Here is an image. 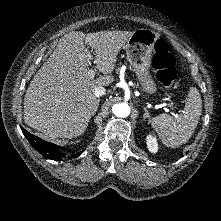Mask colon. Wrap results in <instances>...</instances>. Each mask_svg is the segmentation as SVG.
I'll return each mask as SVG.
<instances>
[{"mask_svg": "<svg viewBox=\"0 0 221 221\" xmlns=\"http://www.w3.org/2000/svg\"><path fill=\"white\" fill-rule=\"evenodd\" d=\"M153 66L156 70L157 80L165 87L175 89L176 69L175 57L168 42L158 39L154 46Z\"/></svg>", "mask_w": 221, "mask_h": 221, "instance_id": "5ec220e1", "label": "colon"}]
</instances>
